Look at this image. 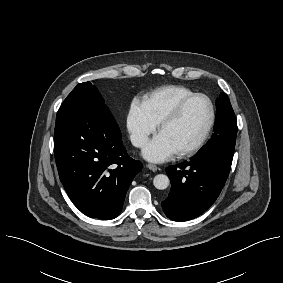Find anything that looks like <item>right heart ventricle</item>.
Wrapping results in <instances>:
<instances>
[{"label": "right heart ventricle", "mask_w": 283, "mask_h": 283, "mask_svg": "<svg viewBox=\"0 0 283 283\" xmlns=\"http://www.w3.org/2000/svg\"><path fill=\"white\" fill-rule=\"evenodd\" d=\"M195 92L181 85H166L149 93L143 102L148 116L159 124L186 97Z\"/></svg>", "instance_id": "right-heart-ventricle-1"}]
</instances>
